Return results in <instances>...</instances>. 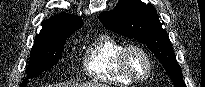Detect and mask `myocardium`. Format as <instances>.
I'll return each instance as SVG.
<instances>
[{"label":"myocardium","instance_id":"myocardium-1","mask_svg":"<svg viewBox=\"0 0 205 87\" xmlns=\"http://www.w3.org/2000/svg\"><path fill=\"white\" fill-rule=\"evenodd\" d=\"M130 51H138L146 58V60L148 62V71H147L145 76L138 77V76L134 75L128 69L126 57ZM117 64H118V67H119V70L121 71V73L124 76H126L128 79H130L132 82H143V81L147 80L151 76L153 69H154V62H153L152 56L149 53V51L146 48H144L143 46L137 45V44L124 45L118 53Z\"/></svg>","mask_w":205,"mask_h":87}]
</instances>
